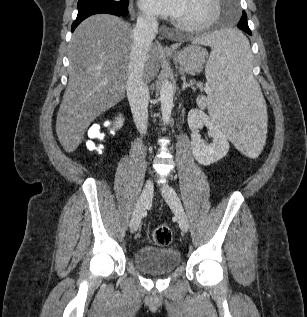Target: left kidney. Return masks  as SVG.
I'll use <instances>...</instances> for the list:
<instances>
[{
    "label": "left kidney",
    "instance_id": "obj_1",
    "mask_svg": "<svg viewBox=\"0 0 307 317\" xmlns=\"http://www.w3.org/2000/svg\"><path fill=\"white\" fill-rule=\"evenodd\" d=\"M187 120L189 128L192 131V153L200 164L210 165L226 156L229 150L228 139L204 111L191 109ZM204 125L209 129V134L212 137V143L210 144L205 143L201 139L198 131Z\"/></svg>",
    "mask_w": 307,
    "mask_h": 317
}]
</instances>
